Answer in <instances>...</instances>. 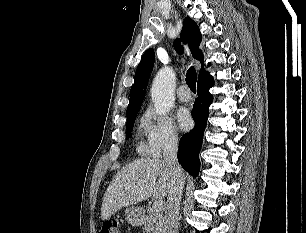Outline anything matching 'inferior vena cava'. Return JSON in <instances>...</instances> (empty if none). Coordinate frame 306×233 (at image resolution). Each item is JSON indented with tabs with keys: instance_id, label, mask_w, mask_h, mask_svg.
Returning <instances> with one entry per match:
<instances>
[{
	"instance_id": "602c4592",
	"label": "inferior vena cava",
	"mask_w": 306,
	"mask_h": 233,
	"mask_svg": "<svg viewBox=\"0 0 306 233\" xmlns=\"http://www.w3.org/2000/svg\"><path fill=\"white\" fill-rule=\"evenodd\" d=\"M178 138L170 136L163 150V161L172 174V182L165 208V224L167 233H178V215L184 187V174L177 160Z\"/></svg>"
}]
</instances>
